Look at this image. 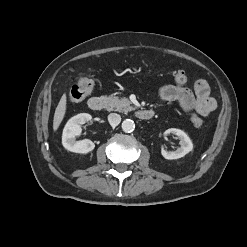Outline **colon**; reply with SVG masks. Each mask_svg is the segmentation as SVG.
I'll return each mask as SVG.
<instances>
[{
    "mask_svg": "<svg viewBox=\"0 0 247 247\" xmlns=\"http://www.w3.org/2000/svg\"><path fill=\"white\" fill-rule=\"evenodd\" d=\"M174 81L178 86H184L187 83V77L181 70L174 72ZM93 88V81L85 76H80L72 87L69 98L72 102H79L85 99ZM191 122L196 128L203 125V120L196 114L191 116Z\"/></svg>",
    "mask_w": 247,
    "mask_h": 247,
    "instance_id": "1",
    "label": "colon"
}]
</instances>
